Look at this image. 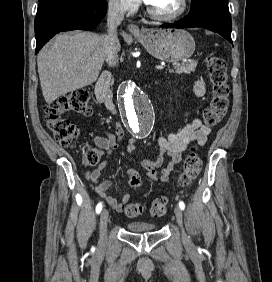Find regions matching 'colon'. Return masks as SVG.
<instances>
[{
	"instance_id": "obj_1",
	"label": "colon",
	"mask_w": 272,
	"mask_h": 282,
	"mask_svg": "<svg viewBox=\"0 0 272 282\" xmlns=\"http://www.w3.org/2000/svg\"><path fill=\"white\" fill-rule=\"evenodd\" d=\"M207 69L212 85V97L209 106L203 110V120L206 125L213 126L222 121L229 107V86L227 82V67L225 62L217 57L210 56L206 60ZM90 95L87 91L64 95L53 101L45 111V121L53 134L56 142L62 147H70L73 140L79 135L78 126L63 117L65 113L76 112L89 115L92 108L89 103ZM100 159V152L92 147L86 150L83 162L87 166H94ZM201 169V160L194 152L189 154L183 164V171L179 178L181 186L191 184L198 176ZM131 187H139L141 179L137 174H130ZM168 200L166 197L154 199L150 205V213L155 217L166 214ZM145 211L140 203H131L123 207L122 212L129 217H136Z\"/></svg>"
}]
</instances>
